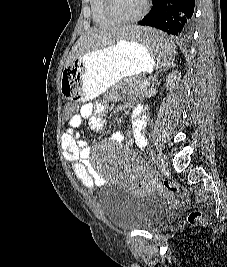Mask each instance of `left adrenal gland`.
<instances>
[{
  "instance_id": "left-adrenal-gland-1",
  "label": "left adrenal gland",
  "mask_w": 227,
  "mask_h": 267,
  "mask_svg": "<svg viewBox=\"0 0 227 267\" xmlns=\"http://www.w3.org/2000/svg\"><path fill=\"white\" fill-rule=\"evenodd\" d=\"M162 70H159L158 72H156V74H155V76H154V79H153V82H152V84H154L155 83V81H156V78H157V75L159 74V72H161Z\"/></svg>"
}]
</instances>
